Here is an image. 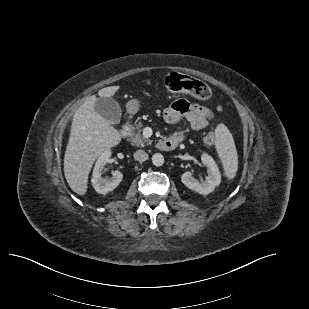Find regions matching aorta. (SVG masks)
Listing matches in <instances>:
<instances>
[{
	"label": "aorta",
	"mask_w": 309,
	"mask_h": 309,
	"mask_svg": "<svg viewBox=\"0 0 309 309\" xmlns=\"http://www.w3.org/2000/svg\"><path fill=\"white\" fill-rule=\"evenodd\" d=\"M152 163L159 167V166H162L164 164V157L162 154L160 153H156L152 156Z\"/></svg>",
	"instance_id": "762f6f07"
}]
</instances>
